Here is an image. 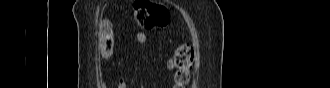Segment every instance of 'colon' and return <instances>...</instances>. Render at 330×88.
Instances as JSON below:
<instances>
[{"mask_svg":"<svg viewBox=\"0 0 330 88\" xmlns=\"http://www.w3.org/2000/svg\"><path fill=\"white\" fill-rule=\"evenodd\" d=\"M136 24L145 29L164 27L168 22L166 10L147 0H137L132 6ZM114 46L110 24L102 29L100 50L108 56ZM168 67L174 72L175 87L184 88L190 81L194 67V51L190 45H180L172 53Z\"/></svg>","mask_w":330,"mask_h":88,"instance_id":"1","label":"colon"}]
</instances>
